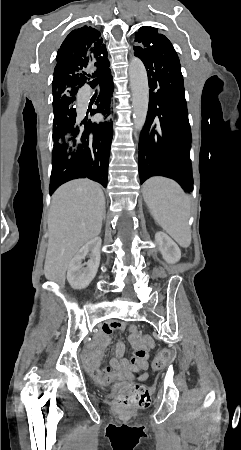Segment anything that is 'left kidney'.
Wrapping results in <instances>:
<instances>
[{"mask_svg": "<svg viewBox=\"0 0 241 450\" xmlns=\"http://www.w3.org/2000/svg\"><path fill=\"white\" fill-rule=\"evenodd\" d=\"M155 242H157L158 248L168 264H176V262H179L181 252L177 244H175L167 234H164V232H157V234H155Z\"/></svg>", "mask_w": 241, "mask_h": 450, "instance_id": "left-kidney-1", "label": "left kidney"}]
</instances>
